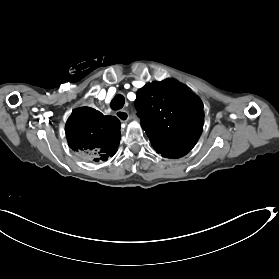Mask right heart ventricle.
<instances>
[{"label": "right heart ventricle", "instance_id": "obj_1", "mask_svg": "<svg viewBox=\"0 0 279 279\" xmlns=\"http://www.w3.org/2000/svg\"><path fill=\"white\" fill-rule=\"evenodd\" d=\"M101 58H102V57H97V58H95V60H99V59H101ZM131 97H132V94H131V93H129V94L126 95V98L129 99V100L131 99Z\"/></svg>", "mask_w": 279, "mask_h": 279}]
</instances>
